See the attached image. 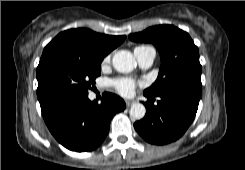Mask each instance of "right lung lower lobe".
<instances>
[{"label":"right lung lower lobe","mask_w":245,"mask_h":170,"mask_svg":"<svg viewBox=\"0 0 245 170\" xmlns=\"http://www.w3.org/2000/svg\"><path fill=\"white\" fill-rule=\"evenodd\" d=\"M125 109V102L112 93H104L101 103L88 95L58 101L41 109L44 121L55 139L69 150L91 151L108 134L113 116Z\"/></svg>","instance_id":"1"}]
</instances>
